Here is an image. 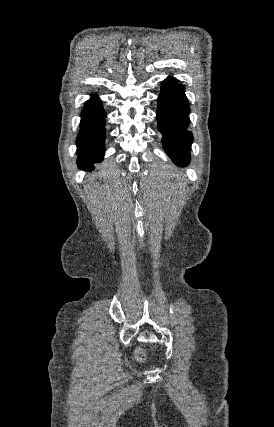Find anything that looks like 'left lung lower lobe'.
<instances>
[{
    "label": "left lung lower lobe",
    "instance_id": "obj_1",
    "mask_svg": "<svg viewBox=\"0 0 274 427\" xmlns=\"http://www.w3.org/2000/svg\"><path fill=\"white\" fill-rule=\"evenodd\" d=\"M157 119L165 151L177 165H186L193 140L187 130L189 106L183 86L174 78H168L162 84Z\"/></svg>",
    "mask_w": 274,
    "mask_h": 427
}]
</instances>
